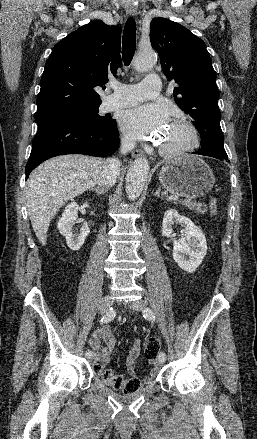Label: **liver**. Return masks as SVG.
<instances>
[{"mask_svg":"<svg viewBox=\"0 0 257 439\" xmlns=\"http://www.w3.org/2000/svg\"><path fill=\"white\" fill-rule=\"evenodd\" d=\"M103 165L94 157L62 155L45 161L31 173L26 187L27 208L42 245H46L49 224L58 210L94 187Z\"/></svg>","mask_w":257,"mask_h":439,"instance_id":"1","label":"liver"}]
</instances>
